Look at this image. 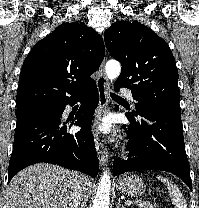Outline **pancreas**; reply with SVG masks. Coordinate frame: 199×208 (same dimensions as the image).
<instances>
[{"label":"pancreas","instance_id":"obj_1","mask_svg":"<svg viewBox=\"0 0 199 208\" xmlns=\"http://www.w3.org/2000/svg\"><path fill=\"white\" fill-rule=\"evenodd\" d=\"M136 204L140 207V208H154L153 205L142 202L140 200L136 201Z\"/></svg>","mask_w":199,"mask_h":208}]
</instances>
